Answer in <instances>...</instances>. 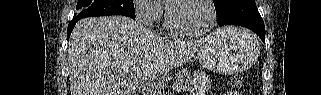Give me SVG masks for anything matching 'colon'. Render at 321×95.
<instances>
[{
	"label": "colon",
	"mask_w": 321,
	"mask_h": 95,
	"mask_svg": "<svg viewBox=\"0 0 321 95\" xmlns=\"http://www.w3.org/2000/svg\"><path fill=\"white\" fill-rule=\"evenodd\" d=\"M243 76L240 75V74H235L233 75L230 80H229V84L232 86V87H241L243 85Z\"/></svg>",
	"instance_id": "5ec220e1"
}]
</instances>
